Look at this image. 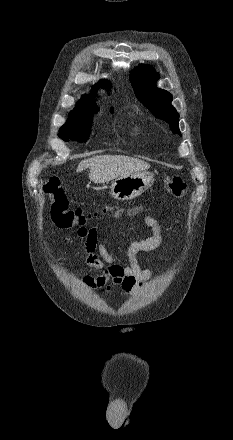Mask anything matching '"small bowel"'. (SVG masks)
I'll return each mask as SVG.
<instances>
[{
    "instance_id": "obj_1",
    "label": "small bowel",
    "mask_w": 233,
    "mask_h": 440,
    "mask_svg": "<svg viewBox=\"0 0 233 440\" xmlns=\"http://www.w3.org/2000/svg\"><path fill=\"white\" fill-rule=\"evenodd\" d=\"M145 224L151 229L148 238L133 241L126 250L128 264L120 263L100 241L96 228H79L77 234L85 239L83 251L86 263L102 273L98 276L83 274L82 283L87 287L102 289L107 292L118 288L123 295L135 291H143L152 281L153 270L143 269L136 258L140 251H151L161 243V230L158 222L151 216L144 218Z\"/></svg>"
}]
</instances>
